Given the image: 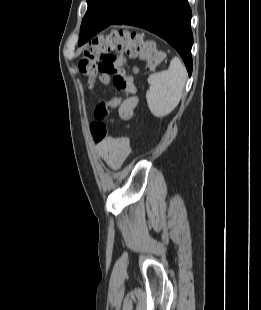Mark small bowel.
<instances>
[{
	"instance_id": "c3829d8e",
	"label": "small bowel",
	"mask_w": 261,
	"mask_h": 310,
	"mask_svg": "<svg viewBox=\"0 0 261 310\" xmlns=\"http://www.w3.org/2000/svg\"><path fill=\"white\" fill-rule=\"evenodd\" d=\"M138 99L131 96L124 100L119 106V114L123 119L132 117L137 106ZM101 157L113 168H119L131 154V141L124 136H106L95 140Z\"/></svg>"
}]
</instances>
